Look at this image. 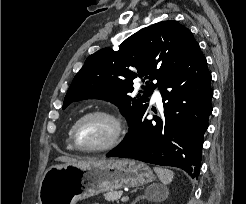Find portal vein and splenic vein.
I'll return each instance as SVG.
<instances>
[{"mask_svg":"<svg viewBox=\"0 0 246 204\" xmlns=\"http://www.w3.org/2000/svg\"><path fill=\"white\" fill-rule=\"evenodd\" d=\"M128 199H129L128 196H124V197L121 198V201H122V202H125V201H127Z\"/></svg>","mask_w":246,"mask_h":204,"instance_id":"18ae733b","label":"portal vein and splenic vein"}]
</instances>
